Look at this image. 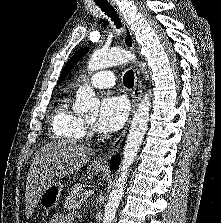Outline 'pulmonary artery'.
Masks as SVG:
<instances>
[{"label":"pulmonary artery","mask_w":221,"mask_h":223,"mask_svg":"<svg viewBox=\"0 0 221 223\" xmlns=\"http://www.w3.org/2000/svg\"><path fill=\"white\" fill-rule=\"evenodd\" d=\"M89 83L95 88L105 89L113 87L115 84V73L109 70H101L95 73Z\"/></svg>","instance_id":"1"}]
</instances>
